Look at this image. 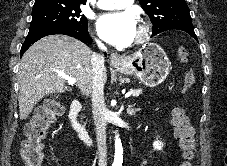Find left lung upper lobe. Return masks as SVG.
I'll return each instance as SVG.
<instances>
[{"label": "left lung upper lobe", "mask_w": 227, "mask_h": 166, "mask_svg": "<svg viewBox=\"0 0 227 166\" xmlns=\"http://www.w3.org/2000/svg\"><path fill=\"white\" fill-rule=\"evenodd\" d=\"M151 22L152 36L168 30H192V19L185 0H139Z\"/></svg>", "instance_id": "5c2ea615"}]
</instances>
